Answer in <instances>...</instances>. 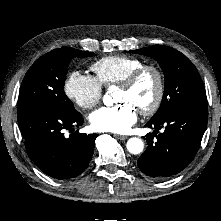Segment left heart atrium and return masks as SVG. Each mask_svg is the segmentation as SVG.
<instances>
[{
    "label": "left heart atrium",
    "instance_id": "1",
    "mask_svg": "<svg viewBox=\"0 0 221 221\" xmlns=\"http://www.w3.org/2000/svg\"><path fill=\"white\" fill-rule=\"evenodd\" d=\"M137 120L136 108L128 102L102 107L90 115L92 127L97 131L126 133Z\"/></svg>",
    "mask_w": 221,
    "mask_h": 221
}]
</instances>
